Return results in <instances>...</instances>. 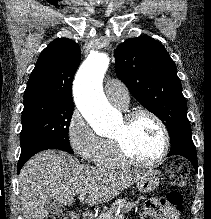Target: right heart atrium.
<instances>
[{
	"label": "right heart atrium",
	"mask_w": 211,
	"mask_h": 219,
	"mask_svg": "<svg viewBox=\"0 0 211 219\" xmlns=\"http://www.w3.org/2000/svg\"><path fill=\"white\" fill-rule=\"evenodd\" d=\"M67 140L76 155L86 161H92L102 145L85 118L74 110L67 124Z\"/></svg>",
	"instance_id": "1"
}]
</instances>
